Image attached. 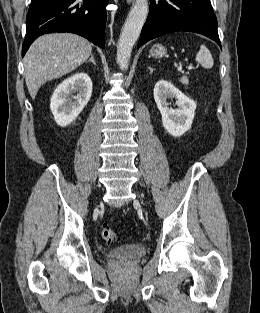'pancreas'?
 Returning a JSON list of instances; mask_svg holds the SVG:
<instances>
[{"instance_id":"cf45deb5","label":"pancreas","mask_w":260,"mask_h":313,"mask_svg":"<svg viewBox=\"0 0 260 313\" xmlns=\"http://www.w3.org/2000/svg\"><path fill=\"white\" fill-rule=\"evenodd\" d=\"M180 82H181L183 85L187 86L188 83H189V80H188V78H187L186 76H183V77L180 79Z\"/></svg>"}]
</instances>
